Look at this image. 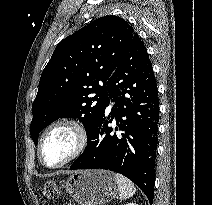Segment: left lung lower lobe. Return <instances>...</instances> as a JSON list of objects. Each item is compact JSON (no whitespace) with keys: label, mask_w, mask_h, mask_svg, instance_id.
Masks as SVG:
<instances>
[{"label":"left lung lower lobe","mask_w":212,"mask_h":205,"mask_svg":"<svg viewBox=\"0 0 212 205\" xmlns=\"http://www.w3.org/2000/svg\"><path fill=\"white\" fill-rule=\"evenodd\" d=\"M109 103L95 123L82 155L70 169H106L134 182L153 202L159 99L144 43L137 33L108 80ZM109 103L107 107L109 106ZM116 122L115 132L108 124Z\"/></svg>","instance_id":"left-lung-lower-lobe-1"}]
</instances>
